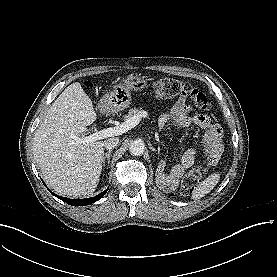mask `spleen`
<instances>
[{
    "label": "spleen",
    "mask_w": 277,
    "mask_h": 277,
    "mask_svg": "<svg viewBox=\"0 0 277 277\" xmlns=\"http://www.w3.org/2000/svg\"><path fill=\"white\" fill-rule=\"evenodd\" d=\"M219 180H220L219 173L211 174L194 189L192 193V198L201 199L217 185Z\"/></svg>",
    "instance_id": "obj_1"
}]
</instances>
